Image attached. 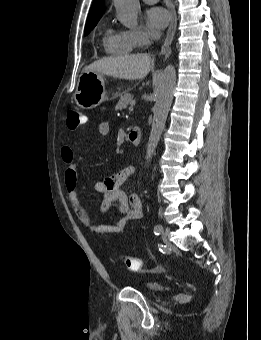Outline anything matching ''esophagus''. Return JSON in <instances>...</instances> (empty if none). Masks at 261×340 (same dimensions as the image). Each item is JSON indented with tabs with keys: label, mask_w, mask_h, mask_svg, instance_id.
I'll list each match as a JSON object with an SVG mask.
<instances>
[{
	"label": "esophagus",
	"mask_w": 261,
	"mask_h": 340,
	"mask_svg": "<svg viewBox=\"0 0 261 340\" xmlns=\"http://www.w3.org/2000/svg\"><path fill=\"white\" fill-rule=\"evenodd\" d=\"M168 8L170 12L171 22H170V26L167 31V36L162 46V51L170 50V45L172 43L175 31H176V25H177V19H176V13H175L174 7L172 5H169Z\"/></svg>",
	"instance_id": "esophagus-1"
}]
</instances>
